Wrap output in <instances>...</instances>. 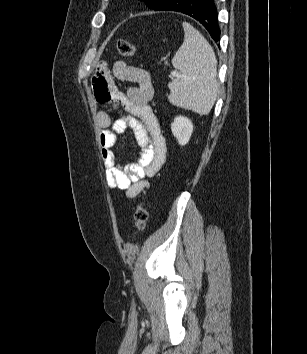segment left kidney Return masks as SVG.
I'll list each match as a JSON object with an SVG mask.
<instances>
[{
  "mask_svg": "<svg viewBox=\"0 0 307 354\" xmlns=\"http://www.w3.org/2000/svg\"><path fill=\"white\" fill-rule=\"evenodd\" d=\"M171 130L174 137L181 146L186 145L193 132V124L190 119L185 116H177L171 124Z\"/></svg>",
  "mask_w": 307,
  "mask_h": 354,
  "instance_id": "5707ae66",
  "label": "left kidney"
}]
</instances>
